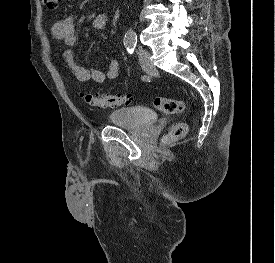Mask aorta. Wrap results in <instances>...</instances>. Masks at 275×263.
<instances>
[{"label": "aorta", "instance_id": "obj_1", "mask_svg": "<svg viewBox=\"0 0 275 263\" xmlns=\"http://www.w3.org/2000/svg\"><path fill=\"white\" fill-rule=\"evenodd\" d=\"M127 36H128V37H132V36H133V33H132V32H129V33L127 34Z\"/></svg>", "mask_w": 275, "mask_h": 263}]
</instances>
